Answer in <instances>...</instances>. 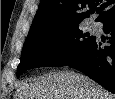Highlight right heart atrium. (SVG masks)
I'll return each mask as SVG.
<instances>
[{"label":"right heart atrium","instance_id":"d8ad5b80","mask_svg":"<svg viewBox=\"0 0 115 99\" xmlns=\"http://www.w3.org/2000/svg\"><path fill=\"white\" fill-rule=\"evenodd\" d=\"M68 48V42L65 39L57 40L51 47V51L54 55H62Z\"/></svg>","mask_w":115,"mask_h":99}]
</instances>
